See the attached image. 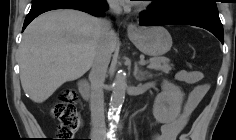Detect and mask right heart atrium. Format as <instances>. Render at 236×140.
I'll use <instances>...</instances> for the list:
<instances>
[{"label":"right heart atrium","mask_w":236,"mask_h":140,"mask_svg":"<svg viewBox=\"0 0 236 140\" xmlns=\"http://www.w3.org/2000/svg\"><path fill=\"white\" fill-rule=\"evenodd\" d=\"M111 6L114 7V8H117V4L114 3V2H111Z\"/></svg>","instance_id":"right-heart-atrium-1"}]
</instances>
